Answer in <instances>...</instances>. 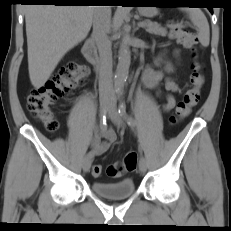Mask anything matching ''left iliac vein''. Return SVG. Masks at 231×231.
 <instances>
[{
	"mask_svg": "<svg viewBox=\"0 0 231 231\" xmlns=\"http://www.w3.org/2000/svg\"><path fill=\"white\" fill-rule=\"evenodd\" d=\"M108 115L116 126L118 127L121 126L122 118H121V115L117 111L116 98L114 97L113 94L110 96V101L108 103ZM139 170L142 173H145L147 170V162L143 156L140 158V161H139Z\"/></svg>",
	"mask_w": 231,
	"mask_h": 231,
	"instance_id": "1",
	"label": "left iliac vein"
}]
</instances>
